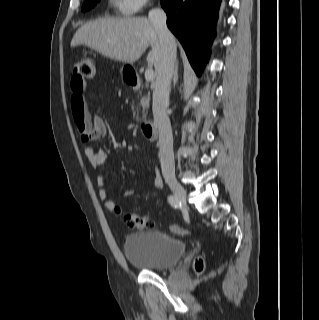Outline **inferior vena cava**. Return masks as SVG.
I'll use <instances>...</instances> for the list:
<instances>
[{
  "instance_id": "602c4592",
  "label": "inferior vena cava",
  "mask_w": 319,
  "mask_h": 320,
  "mask_svg": "<svg viewBox=\"0 0 319 320\" xmlns=\"http://www.w3.org/2000/svg\"><path fill=\"white\" fill-rule=\"evenodd\" d=\"M148 18L157 31L162 48V57L157 69L155 88L153 91V116L159 131V155L162 174L175 175L173 152V136L166 108L169 104L171 79L174 74L176 60V43L174 36L166 25V14L162 9H152Z\"/></svg>"
}]
</instances>
